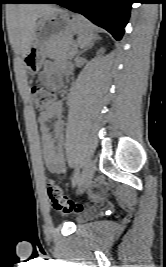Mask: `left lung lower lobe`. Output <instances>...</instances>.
<instances>
[{"label": "left lung lower lobe", "mask_w": 166, "mask_h": 267, "mask_svg": "<svg viewBox=\"0 0 166 267\" xmlns=\"http://www.w3.org/2000/svg\"><path fill=\"white\" fill-rule=\"evenodd\" d=\"M33 3H57L84 15L106 29L116 40L124 33L133 0H36Z\"/></svg>", "instance_id": "left-lung-lower-lobe-1"}]
</instances>
